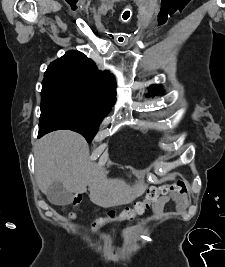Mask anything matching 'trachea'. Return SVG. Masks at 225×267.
Returning <instances> with one entry per match:
<instances>
[{
  "mask_svg": "<svg viewBox=\"0 0 225 267\" xmlns=\"http://www.w3.org/2000/svg\"><path fill=\"white\" fill-rule=\"evenodd\" d=\"M130 14H127V11H124L123 13V19L127 20L129 18Z\"/></svg>",
  "mask_w": 225,
  "mask_h": 267,
  "instance_id": "3493384b",
  "label": "trachea"
}]
</instances>
